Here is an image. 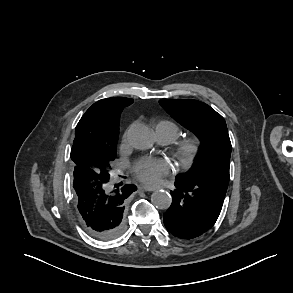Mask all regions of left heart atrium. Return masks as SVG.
Instances as JSON below:
<instances>
[{"label":"left heart atrium","mask_w":293,"mask_h":293,"mask_svg":"<svg viewBox=\"0 0 293 293\" xmlns=\"http://www.w3.org/2000/svg\"><path fill=\"white\" fill-rule=\"evenodd\" d=\"M170 172V165L162 159H142L133 165L134 175L144 183L154 184Z\"/></svg>","instance_id":"39dd6f15"}]
</instances>
